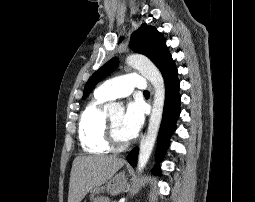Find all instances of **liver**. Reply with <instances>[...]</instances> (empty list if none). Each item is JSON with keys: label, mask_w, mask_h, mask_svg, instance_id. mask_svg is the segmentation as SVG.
I'll list each match as a JSON object with an SVG mask.
<instances>
[{"label": "liver", "mask_w": 255, "mask_h": 202, "mask_svg": "<svg viewBox=\"0 0 255 202\" xmlns=\"http://www.w3.org/2000/svg\"><path fill=\"white\" fill-rule=\"evenodd\" d=\"M126 163L114 156H79L72 164L68 202H80L94 187H98Z\"/></svg>", "instance_id": "obj_1"}]
</instances>
